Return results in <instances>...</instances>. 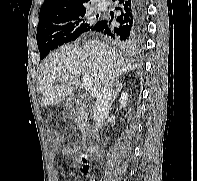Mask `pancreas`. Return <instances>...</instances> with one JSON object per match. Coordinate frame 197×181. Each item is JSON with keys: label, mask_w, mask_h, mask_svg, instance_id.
I'll return each mask as SVG.
<instances>
[{"label": "pancreas", "mask_w": 197, "mask_h": 181, "mask_svg": "<svg viewBox=\"0 0 197 181\" xmlns=\"http://www.w3.org/2000/svg\"><path fill=\"white\" fill-rule=\"evenodd\" d=\"M76 124H77V127L78 129L83 133L85 134L87 131H89V127H88V124H87V118L86 116H78L76 118Z\"/></svg>", "instance_id": "obj_1"}]
</instances>
